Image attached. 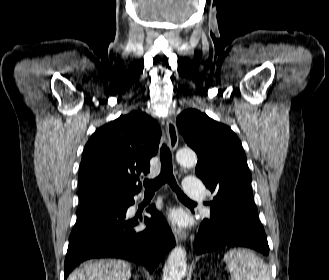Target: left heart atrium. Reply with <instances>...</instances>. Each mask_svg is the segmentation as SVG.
I'll return each mask as SVG.
<instances>
[{
	"instance_id": "obj_1",
	"label": "left heart atrium",
	"mask_w": 329,
	"mask_h": 280,
	"mask_svg": "<svg viewBox=\"0 0 329 280\" xmlns=\"http://www.w3.org/2000/svg\"><path fill=\"white\" fill-rule=\"evenodd\" d=\"M170 218L174 223L183 225L185 223V216L181 211H172Z\"/></svg>"
}]
</instances>
